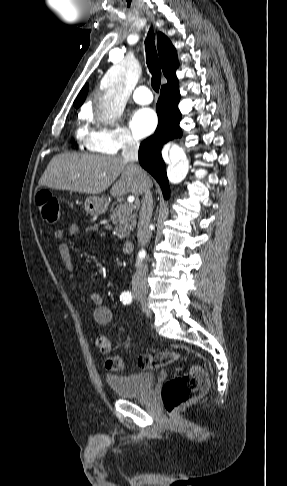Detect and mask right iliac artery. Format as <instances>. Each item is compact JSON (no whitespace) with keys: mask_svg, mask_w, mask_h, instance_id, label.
Wrapping results in <instances>:
<instances>
[{"mask_svg":"<svg viewBox=\"0 0 287 486\" xmlns=\"http://www.w3.org/2000/svg\"><path fill=\"white\" fill-rule=\"evenodd\" d=\"M120 300L123 301V300H131L132 301V294L131 292L127 291V292H123L120 296Z\"/></svg>","mask_w":287,"mask_h":486,"instance_id":"1","label":"right iliac artery"}]
</instances>
